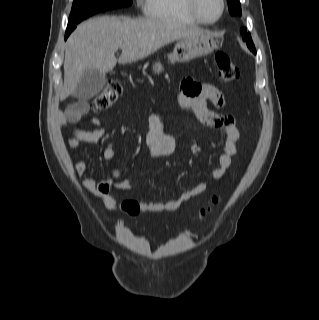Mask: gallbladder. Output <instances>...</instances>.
I'll return each mask as SVG.
<instances>
[{"label":"gallbladder","mask_w":319,"mask_h":320,"mask_svg":"<svg viewBox=\"0 0 319 320\" xmlns=\"http://www.w3.org/2000/svg\"><path fill=\"white\" fill-rule=\"evenodd\" d=\"M105 83V74L97 70L86 72L72 93V96L82 101L89 100L100 93Z\"/></svg>","instance_id":"1"}]
</instances>
